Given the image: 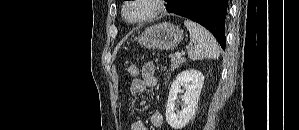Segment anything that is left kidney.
<instances>
[{
	"label": "left kidney",
	"instance_id": "left-kidney-1",
	"mask_svg": "<svg viewBox=\"0 0 299 130\" xmlns=\"http://www.w3.org/2000/svg\"><path fill=\"white\" fill-rule=\"evenodd\" d=\"M204 83V76L197 70H186L179 73L172 82L166 105V121L175 130L185 127L193 118L200 92ZM183 87L185 92L181 89ZM183 92L184 102L182 111L175 113V102L178 93Z\"/></svg>",
	"mask_w": 299,
	"mask_h": 130
}]
</instances>
